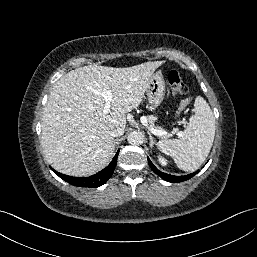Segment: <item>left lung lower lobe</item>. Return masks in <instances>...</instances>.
Instances as JSON below:
<instances>
[{"mask_svg":"<svg viewBox=\"0 0 257 257\" xmlns=\"http://www.w3.org/2000/svg\"><path fill=\"white\" fill-rule=\"evenodd\" d=\"M148 163L150 165V167L152 168V170L157 174L159 175L162 179L168 181V182H182V181H186L190 178H192L194 175H196L199 170H197L196 172L194 173H191L189 175H185V176H174V175H169V174H166V173H163L161 171H159L154 165L153 163L149 160L148 158Z\"/></svg>","mask_w":257,"mask_h":257,"instance_id":"0a47b994","label":"left lung lower lobe"}]
</instances>
